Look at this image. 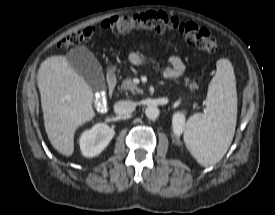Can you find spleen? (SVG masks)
Wrapping results in <instances>:
<instances>
[{
  "instance_id": "3e777b00",
  "label": "spleen",
  "mask_w": 275,
  "mask_h": 215,
  "mask_svg": "<svg viewBox=\"0 0 275 215\" xmlns=\"http://www.w3.org/2000/svg\"><path fill=\"white\" fill-rule=\"evenodd\" d=\"M207 93L205 113L191 116L185 127V144L203 166L219 162L234 137L237 119L236 80L231 62L220 59Z\"/></svg>"
}]
</instances>
